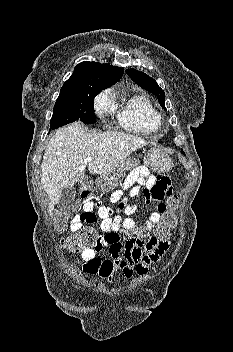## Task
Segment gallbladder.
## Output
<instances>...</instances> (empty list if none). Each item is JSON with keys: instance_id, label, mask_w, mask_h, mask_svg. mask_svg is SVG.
Returning <instances> with one entry per match:
<instances>
[{"instance_id": "bac80fb5", "label": "gallbladder", "mask_w": 233, "mask_h": 352, "mask_svg": "<svg viewBox=\"0 0 233 352\" xmlns=\"http://www.w3.org/2000/svg\"><path fill=\"white\" fill-rule=\"evenodd\" d=\"M75 196L76 191L74 187L64 188L58 202V209L60 211H69L75 203Z\"/></svg>"}]
</instances>
